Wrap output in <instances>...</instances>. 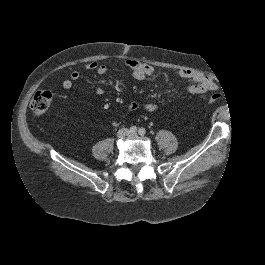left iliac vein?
I'll list each match as a JSON object with an SVG mask.
<instances>
[{"mask_svg": "<svg viewBox=\"0 0 265 265\" xmlns=\"http://www.w3.org/2000/svg\"><path fill=\"white\" fill-rule=\"evenodd\" d=\"M128 136L131 137V138H137L138 134L137 133H129Z\"/></svg>", "mask_w": 265, "mask_h": 265, "instance_id": "obj_1", "label": "left iliac vein"}]
</instances>
